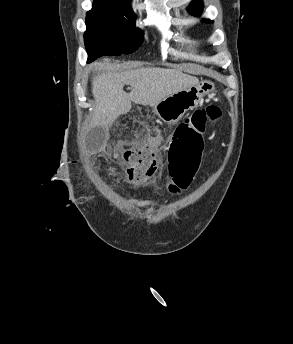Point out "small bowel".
<instances>
[{
    "label": "small bowel",
    "instance_id": "obj_1",
    "mask_svg": "<svg viewBox=\"0 0 293 344\" xmlns=\"http://www.w3.org/2000/svg\"><path fill=\"white\" fill-rule=\"evenodd\" d=\"M146 139L153 144L154 148H156L158 150H162L164 148V145H163L161 137L151 135V136H147ZM154 167H155V164H154ZM154 167H153V169L151 171V174H153V172H154ZM141 205L145 206V205H147V203L144 202Z\"/></svg>",
    "mask_w": 293,
    "mask_h": 344
}]
</instances>
